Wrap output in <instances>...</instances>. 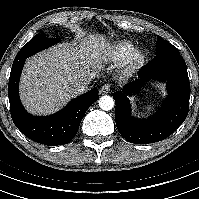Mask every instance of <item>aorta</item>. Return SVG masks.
<instances>
[{"label":"aorta","mask_w":199,"mask_h":199,"mask_svg":"<svg viewBox=\"0 0 199 199\" xmlns=\"http://www.w3.org/2000/svg\"><path fill=\"white\" fill-rule=\"evenodd\" d=\"M98 103L102 110L109 111L114 107L115 102L111 96L104 95L99 99Z\"/></svg>","instance_id":"1"}]
</instances>
